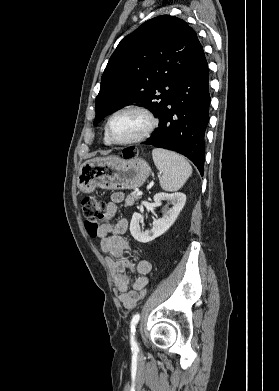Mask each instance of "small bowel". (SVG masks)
<instances>
[{
    "instance_id": "small-bowel-1",
    "label": "small bowel",
    "mask_w": 279,
    "mask_h": 391,
    "mask_svg": "<svg viewBox=\"0 0 279 391\" xmlns=\"http://www.w3.org/2000/svg\"><path fill=\"white\" fill-rule=\"evenodd\" d=\"M123 200L121 193L111 195L105 213V222L98 228L96 236L100 238L101 250L108 254L106 263L110 268L111 276L115 284L120 302L127 309L134 308L140 301L139 292L148 284L147 275L150 273L152 264L144 259L129 260L124 254L129 250V244L123 237L128 221L123 218L116 224H112L117 205ZM129 269L138 277L132 280L126 273Z\"/></svg>"
}]
</instances>
